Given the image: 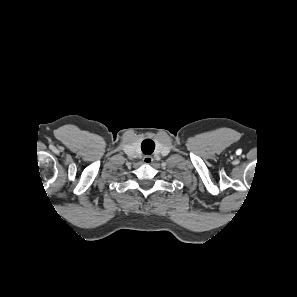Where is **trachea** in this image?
<instances>
[{
	"instance_id": "3493384b",
	"label": "trachea",
	"mask_w": 297,
	"mask_h": 297,
	"mask_svg": "<svg viewBox=\"0 0 297 297\" xmlns=\"http://www.w3.org/2000/svg\"><path fill=\"white\" fill-rule=\"evenodd\" d=\"M141 149L144 154H151L155 149V143L151 139H145L141 144Z\"/></svg>"
}]
</instances>
